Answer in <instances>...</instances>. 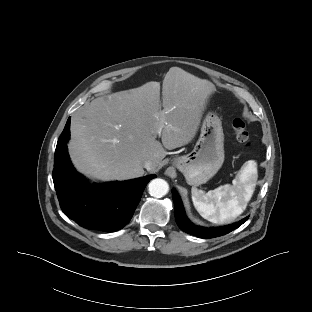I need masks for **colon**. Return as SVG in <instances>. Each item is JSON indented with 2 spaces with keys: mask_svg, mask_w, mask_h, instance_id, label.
I'll use <instances>...</instances> for the list:
<instances>
[{
  "mask_svg": "<svg viewBox=\"0 0 312 312\" xmlns=\"http://www.w3.org/2000/svg\"><path fill=\"white\" fill-rule=\"evenodd\" d=\"M232 128L237 142L240 143L242 146H249L250 134L247 130L245 122L241 119H235L232 122Z\"/></svg>",
  "mask_w": 312,
  "mask_h": 312,
  "instance_id": "5ec220e1",
  "label": "colon"
}]
</instances>
